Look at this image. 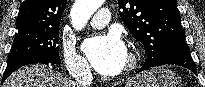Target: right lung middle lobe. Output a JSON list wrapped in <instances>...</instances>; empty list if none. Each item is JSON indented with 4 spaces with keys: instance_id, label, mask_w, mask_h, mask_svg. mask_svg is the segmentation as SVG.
<instances>
[{
    "instance_id": "obj_1",
    "label": "right lung middle lobe",
    "mask_w": 205,
    "mask_h": 87,
    "mask_svg": "<svg viewBox=\"0 0 205 87\" xmlns=\"http://www.w3.org/2000/svg\"><path fill=\"white\" fill-rule=\"evenodd\" d=\"M58 29H31L19 31L15 36L8 58L31 56L60 64Z\"/></svg>"
}]
</instances>
